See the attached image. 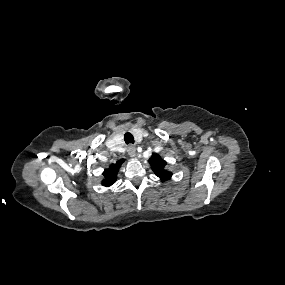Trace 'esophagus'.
I'll list each match as a JSON object with an SVG mask.
<instances>
[{
	"mask_svg": "<svg viewBox=\"0 0 285 285\" xmlns=\"http://www.w3.org/2000/svg\"><path fill=\"white\" fill-rule=\"evenodd\" d=\"M128 154H129L130 157H135V155H136V148L133 145L128 147Z\"/></svg>",
	"mask_w": 285,
	"mask_h": 285,
	"instance_id": "34e87169",
	"label": "esophagus"
}]
</instances>
